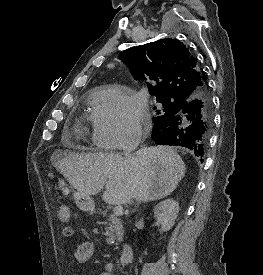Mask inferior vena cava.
<instances>
[{
  "mask_svg": "<svg viewBox=\"0 0 263 275\" xmlns=\"http://www.w3.org/2000/svg\"><path fill=\"white\" fill-rule=\"evenodd\" d=\"M133 150L132 146H128L125 150H124V158L126 161H130L132 159V155H131V151Z\"/></svg>",
  "mask_w": 263,
  "mask_h": 275,
  "instance_id": "inferior-vena-cava-1",
  "label": "inferior vena cava"
}]
</instances>
